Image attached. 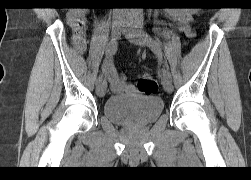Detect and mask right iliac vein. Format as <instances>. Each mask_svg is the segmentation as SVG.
I'll list each match as a JSON object with an SVG mask.
<instances>
[{
	"label": "right iliac vein",
	"instance_id": "obj_1",
	"mask_svg": "<svg viewBox=\"0 0 251 180\" xmlns=\"http://www.w3.org/2000/svg\"><path fill=\"white\" fill-rule=\"evenodd\" d=\"M123 27H124V23L123 22H115L112 26V31H111V37H112V41H117L120 36L121 33L123 31ZM106 89H107V82L106 80L101 81L96 88V93L99 97H103L106 93Z\"/></svg>",
	"mask_w": 251,
	"mask_h": 180
}]
</instances>
